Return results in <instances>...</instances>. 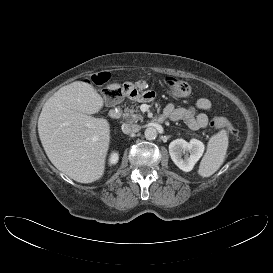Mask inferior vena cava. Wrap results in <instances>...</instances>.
Returning <instances> with one entry per match:
<instances>
[{
    "instance_id": "602c4592",
    "label": "inferior vena cava",
    "mask_w": 273,
    "mask_h": 273,
    "mask_svg": "<svg viewBox=\"0 0 273 273\" xmlns=\"http://www.w3.org/2000/svg\"><path fill=\"white\" fill-rule=\"evenodd\" d=\"M121 129H122V132L124 134H135L137 133L139 130H140V127L139 125H136V124H126L124 123L122 126H121Z\"/></svg>"
}]
</instances>
